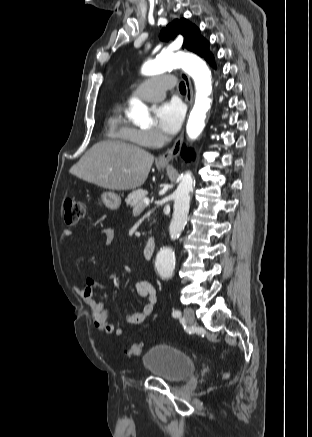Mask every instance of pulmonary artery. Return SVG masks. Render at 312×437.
<instances>
[{
  "instance_id": "pulmonary-artery-1",
  "label": "pulmonary artery",
  "mask_w": 312,
  "mask_h": 437,
  "mask_svg": "<svg viewBox=\"0 0 312 437\" xmlns=\"http://www.w3.org/2000/svg\"><path fill=\"white\" fill-rule=\"evenodd\" d=\"M175 84L171 75H161L141 82L132 92V95L145 101H158L165 92Z\"/></svg>"
}]
</instances>
